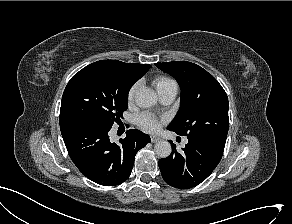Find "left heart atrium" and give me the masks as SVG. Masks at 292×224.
I'll return each mask as SVG.
<instances>
[{"instance_id": "39dd6f15", "label": "left heart atrium", "mask_w": 292, "mask_h": 224, "mask_svg": "<svg viewBox=\"0 0 292 224\" xmlns=\"http://www.w3.org/2000/svg\"><path fill=\"white\" fill-rule=\"evenodd\" d=\"M138 125L145 131L155 132L160 128L159 120L148 112H143L137 117Z\"/></svg>"}]
</instances>
